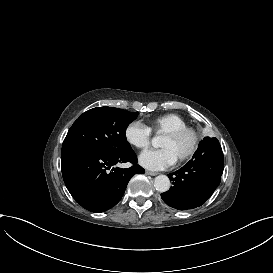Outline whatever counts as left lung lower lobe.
<instances>
[{"instance_id": "obj_1", "label": "left lung lower lobe", "mask_w": 273, "mask_h": 273, "mask_svg": "<svg viewBox=\"0 0 273 273\" xmlns=\"http://www.w3.org/2000/svg\"><path fill=\"white\" fill-rule=\"evenodd\" d=\"M224 156L216 138L205 137L192 159L168 175L173 186L161 194L172 208L188 210L203 205L221 181Z\"/></svg>"}]
</instances>
